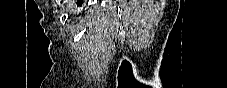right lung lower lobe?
Returning <instances> with one entry per match:
<instances>
[{
    "label": "right lung lower lobe",
    "mask_w": 227,
    "mask_h": 88,
    "mask_svg": "<svg viewBox=\"0 0 227 88\" xmlns=\"http://www.w3.org/2000/svg\"><path fill=\"white\" fill-rule=\"evenodd\" d=\"M82 3H83V1L78 0L77 3H76V5H77V6H82Z\"/></svg>",
    "instance_id": "right-lung-lower-lobe-1"
}]
</instances>
